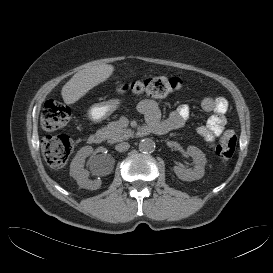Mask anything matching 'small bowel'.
I'll return each mask as SVG.
<instances>
[{
	"label": "small bowel",
	"mask_w": 273,
	"mask_h": 273,
	"mask_svg": "<svg viewBox=\"0 0 273 273\" xmlns=\"http://www.w3.org/2000/svg\"><path fill=\"white\" fill-rule=\"evenodd\" d=\"M201 106L206 112H213L204 125L196 129V133L206 142H214L216 138L225 132L226 118L225 113L228 102L224 97H205ZM138 110L142 113L146 121L154 122L160 120L161 112L158 103L153 99H144L138 105ZM189 107L180 105L164 121L169 125L170 130L183 127L189 116Z\"/></svg>",
	"instance_id": "1"
}]
</instances>
